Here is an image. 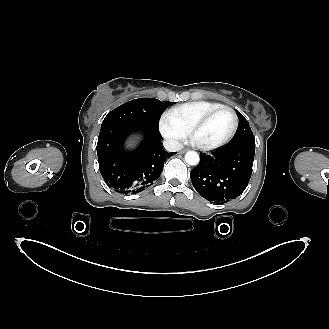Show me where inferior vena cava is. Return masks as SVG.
Listing matches in <instances>:
<instances>
[{
	"instance_id": "1",
	"label": "inferior vena cava",
	"mask_w": 329,
	"mask_h": 329,
	"mask_svg": "<svg viewBox=\"0 0 329 329\" xmlns=\"http://www.w3.org/2000/svg\"><path fill=\"white\" fill-rule=\"evenodd\" d=\"M164 148L169 152L179 151L183 148V144L177 140L169 139L163 142Z\"/></svg>"
}]
</instances>
